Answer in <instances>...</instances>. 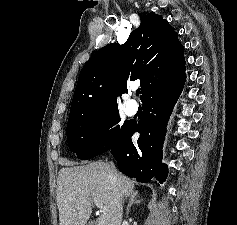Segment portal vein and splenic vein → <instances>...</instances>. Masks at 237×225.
<instances>
[{"instance_id":"portal-vein-and-splenic-vein-1","label":"portal vein and splenic vein","mask_w":237,"mask_h":225,"mask_svg":"<svg viewBox=\"0 0 237 225\" xmlns=\"http://www.w3.org/2000/svg\"><path fill=\"white\" fill-rule=\"evenodd\" d=\"M94 203L99 209L106 210V207L102 204V202L100 200L94 198Z\"/></svg>"}]
</instances>
